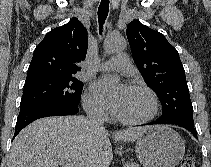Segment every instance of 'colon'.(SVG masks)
Masks as SVG:
<instances>
[{
	"label": "colon",
	"instance_id": "obj_1",
	"mask_svg": "<svg viewBox=\"0 0 211 167\" xmlns=\"http://www.w3.org/2000/svg\"><path fill=\"white\" fill-rule=\"evenodd\" d=\"M180 167H196L194 158L191 156L185 157Z\"/></svg>",
	"mask_w": 211,
	"mask_h": 167
}]
</instances>
